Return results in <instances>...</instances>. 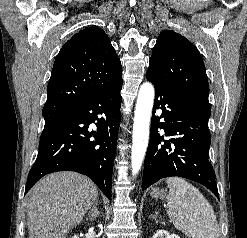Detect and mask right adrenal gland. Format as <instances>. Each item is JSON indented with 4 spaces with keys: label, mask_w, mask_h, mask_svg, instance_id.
<instances>
[{
    "label": "right adrenal gland",
    "mask_w": 247,
    "mask_h": 238,
    "mask_svg": "<svg viewBox=\"0 0 247 238\" xmlns=\"http://www.w3.org/2000/svg\"><path fill=\"white\" fill-rule=\"evenodd\" d=\"M97 205H98V200L95 202L92 209L88 213L87 218H86L87 220H90L91 222H93L97 217H99L100 212L98 211Z\"/></svg>",
    "instance_id": "2a0ac1e0"
}]
</instances>
